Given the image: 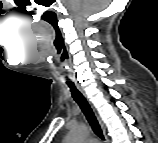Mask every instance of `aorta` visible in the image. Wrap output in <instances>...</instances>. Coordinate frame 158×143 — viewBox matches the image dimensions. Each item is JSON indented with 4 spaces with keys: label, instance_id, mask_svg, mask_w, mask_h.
<instances>
[{
    "label": "aorta",
    "instance_id": "762f6f07",
    "mask_svg": "<svg viewBox=\"0 0 158 143\" xmlns=\"http://www.w3.org/2000/svg\"><path fill=\"white\" fill-rule=\"evenodd\" d=\"M86 135V127L84 125H79L77 128L71 131L69 141L80 142Z\"/></svg>",
    "mask_w": 158,
    "mask_h": 143
}]
</instances>
